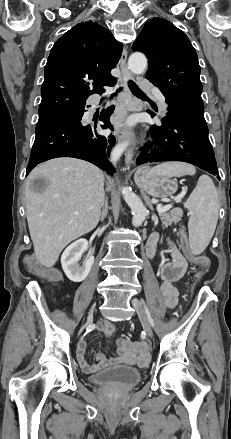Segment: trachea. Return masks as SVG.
Listing matches in <instances>:
<instances>
[{
  "instance_id": "3493384b",
  "label": "trachea",
  "mask_w": 231,
  "mask_h": 439,
  "mask_svg": "<svg viewBox=\"0 0 231 439\" xmlns=\"http://www.w3.org/2000/svg\"><path fill=\"white\" fill-rule=\"evenodd\" d=\"M128 85L135 96H137L138 98L147 99L145 93L141 89H139V87L133 81L130 80L128 82Z\"/></svg>"
}]
</instances>
